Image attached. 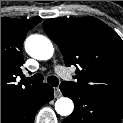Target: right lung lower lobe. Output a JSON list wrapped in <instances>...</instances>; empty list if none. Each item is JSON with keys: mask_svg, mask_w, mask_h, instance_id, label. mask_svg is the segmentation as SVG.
Returning a JSON list of instances; mask_svg holds the SVG:
<instances>
[{"mask_svg": "<svg viewBox=\"0 0 123 123\" xmlns=\"http://www.w3.org/2000/svg\"><path fill=\"white\" fill-rule=\"evenodd\" d=\"M53 99V88L38 86L27 98L1 108V123H34L37 110Z\"/></svg>", "mask_w": 123, "mask_h": 123, "instance_id": "1", "label": "right lung lower lobe"}]
</instances>
